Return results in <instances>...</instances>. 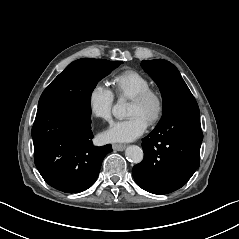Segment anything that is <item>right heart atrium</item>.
Here are the masks:
<instances>
[{
    "instance_id": "1",
    "label": "right heart atrium",
    "mask_w": 239,
    "mask_h": 239,
    "mask_svg": "<svg viewBox=\"0 0 239 239\" xmlns=\"http://www.w3.org/2000/svg\"><path fill=\"white\" fill-rule=\"evenodd\" d=\"M114 101V91L101 82L93 84L88 90V109L90 114L95 118L109 119Z\"/></svg>"
}]
</instances>
